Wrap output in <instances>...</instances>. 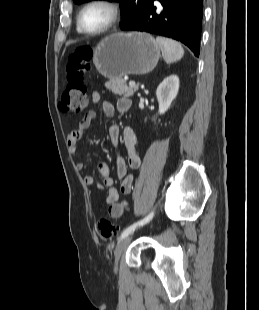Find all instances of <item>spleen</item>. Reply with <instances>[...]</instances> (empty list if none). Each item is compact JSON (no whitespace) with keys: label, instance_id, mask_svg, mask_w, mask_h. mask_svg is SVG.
<instances>
[{"label":"spleen","instance_id":"spleen-1","mask_svg":"<svg viewBox=\"0 0 259 310\" xmlns=\"http://www.w3.org/2000/svg\"><path fill=\"white\" fill-rule=\"evenodd\" d=\"M156 43L160 47L162 56L167 64L179 61L184 55L182 46L172 39L157 37Z\"/></svg>","mask_w":259,"mask_h":310}]
</instances>
